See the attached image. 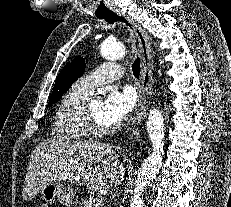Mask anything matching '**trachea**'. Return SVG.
<instances>
[{
    "label": "trachea",
    "instance_id": "obj_1",
    "mask_svg": "<svg viewBox=\"0 0 231 207\" xmlns=\"http://www.w3.org/2000/svg\"><path fill=\"white\" fill-rule=\"evenodd\" d=\"M98 18L106 20L109 24H113L114 22L121 21V22H124L126 25L130 26V24L126 21V19L117 15L114 12L98 16ZM140 65H141V60L137 56V58L135 59V61L132 64V72L136 78H139V75H140V70H141Z\"/></svg>",
    "mask_w": 231,
    "mask_h": 207
}]
</instances>
